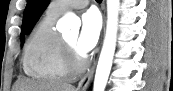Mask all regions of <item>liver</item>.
<instances>
[{
    "mask_svg": "<svg viewBox=\"0 0 173 91\" xmlns=\"http://www.w3.org/2000/svg\"><path fill=\"white\" fill-rule=\"evenodd\" d=\"M13 91H76L67 83L56 81H35L26 78L18 79L13 87Z\"/></svg>",
    "mask_w": 173,
    "mask_h": 91,
    "instance_id": "1",
    "label": "liver"
}]
</instances>
